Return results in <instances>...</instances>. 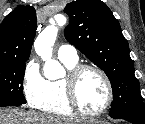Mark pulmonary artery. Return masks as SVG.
Segmentation results:
<instances>
[{
	"instance_id": "obj_1",
	"label": "pulmonary artery",
	"mask_w": 145,
	"mask_h": 124,
	"mask_svg": "<svg viewBox=\"0 0 145 124\" xmlns=\"http://www.w3.org/2000/svg\"><path fill=\"white\" fill-rule=\"evenodd\" d=\"M57 56L59 59L77 61L78 54L75 47L71 45H61L57 50Z\"/></svg>"
}]
</instances>
